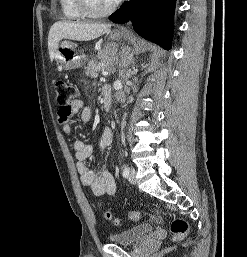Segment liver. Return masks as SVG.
<instances>
[{
    "instance_id": "6515ba94",
    "label": "liver",
    "mask_w": 247,
    "mask_h": 257,
    "mask_svg": "<svg viewBox=\"0 0 247 257\" xmlns=\"http://www.w3.org/2000/svg\"><path fill=\"white\" fill-rule=\"evenodd\" d=\"M111 28V24L106 23H81L64 22L54 23L48 34V50L50 60L56 56L59 41L70 39L75 41H90L103 35Z\"/></svg>"
}]
</instances>
